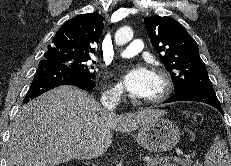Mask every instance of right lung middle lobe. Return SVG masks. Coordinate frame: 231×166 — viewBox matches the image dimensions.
<instances>
[{
    "instance_id": "1",
    "label": "right lung middle lobe",
    "mask_w": 231,
    "mask_h": 166,
    "mask_svg": "<svg viewBox=\"0 0 231 166\" xmlns=\"http://www.w3.org/2000/svg\"><path fill=\"white\" fill-rule=\"evenodd\" d=\"M45 58L46 60L69 66L79 73H82L90 78H94L95 73L92 71L94 67L88 64L91 57L45 56Z\"/></svg>"
}]
</instances>
